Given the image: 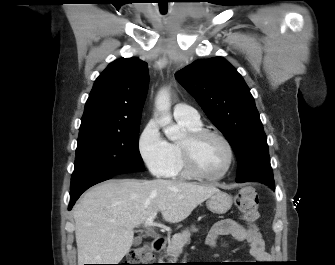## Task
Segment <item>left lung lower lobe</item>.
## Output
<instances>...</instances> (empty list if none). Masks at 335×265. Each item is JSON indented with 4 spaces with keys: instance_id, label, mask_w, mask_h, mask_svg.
<instances>
[{
    "instance_id": "left-lung-lower-lobe-1",
    "label": "left lung lower lobe",
    "mask_w": 335,
    "mask_h": 265,
    "mask_svg": "<svg viewBox=\"0 0 335 265\" xmlns=\"http://www.w3.org/2000/svg\"><path fill=\"white\" fill-rule=\"evenodd\" d=\"M238 182V181H237ZM267 185H270L272 188H274V182H271V183H269V184H267Z\"/></svg>"
}]
</instances>
